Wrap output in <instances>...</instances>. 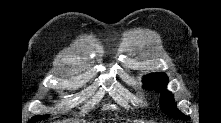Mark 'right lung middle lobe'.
<instances>
[{"label": "right lung middle lobe", "instance_id": "1", "mask_svg": "<svg viewBox=\"0 0 221 123\" xmlns=\"http://www.w3.org/2000/svg\"><path fill=\"white\" fill-rule=\"evenodd\" d=\"M47 117H48L47 115L46 116H35L32 120L33 121H40V120H43V119H45Z\"/></svg>", "mask_w": 221, "mask_h": 123}]
</instances>
